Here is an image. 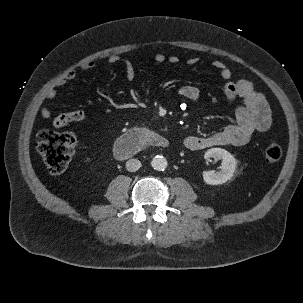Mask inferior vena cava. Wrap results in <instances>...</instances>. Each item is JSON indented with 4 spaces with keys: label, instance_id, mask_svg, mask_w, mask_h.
Here are the masks:
<instances>
[{
    "label": "inferior vena cava",
    "instance_id": "obj_1",
    "mask_svg": "<svg viewBox=\"0 0 303 303\" xmlns=\"http://www.w3.org/2000/svg\"><path fill=\"white\" fill-rule=\"evenodd\" d=\"M141 167V162L137 159H130L126 162V169L129 172H135Z\"/></svg>",
    "mask_w": 303,
    "mask_h": 303
}]
</instances>
